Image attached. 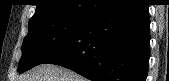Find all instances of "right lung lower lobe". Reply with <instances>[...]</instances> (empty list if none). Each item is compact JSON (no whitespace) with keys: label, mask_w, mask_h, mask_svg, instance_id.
<instances>
[{"label":"right lung lower lobe","mask_w":169,"mask_h":81,"mask_svg":"<svg viewBox=\"0 0 169 81\" xmlns=\"http://www.w3.org/2000/svg\"><path fill=\"white\" fill-rule=\"evenodd\" d=\"M149 57V6L143 0H116L42 63L92 81H145Z\"/></svg>","instance_id":"obj_1"}]
</instances>
